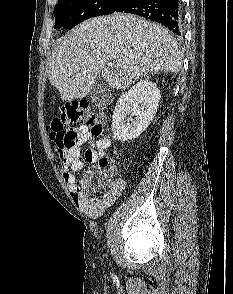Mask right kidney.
Wrapping results in <instances>:
<instances>
[{
  "instance_id": "ca27d5eb",
  "label": "right kidney",
  "mask_w": 233,
  "mask_h": 294,
  "mask_svg": "<svg viewBox=\"0 0 233 294\" xmlns=\"http://www.w3.org/2000/svg\"><path fill=\"white\" fill-rule=\"evenodd\" d=\"M160 98L159 89L149 79H141L123 93L113 113L114 137L121 141H129L140 136L154 118Z\"/></svg>"
}]
</instances>
